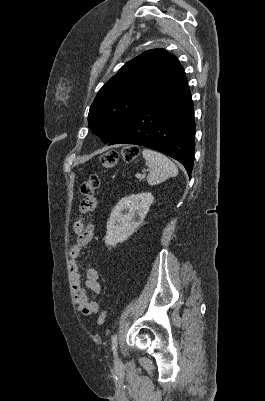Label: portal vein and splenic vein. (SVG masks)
<instances>
[{
    "instance_id": "1",
    "label": "portal vein and splenic vein",
    "mask_w": 265,
    "mask_h": 401,
    "mask_svg": "<svg viewBox=\"0 0 265 401\" xmlns=\"http://www.w3.org/2000/svg\"><path fill=\"white\" fill-rule=\"evenodd\" d=\"M144 172H145V170H144ZM142 176H144V174H136V175H133V178L141 179Z\"/></svg>"
}]
</instances>
